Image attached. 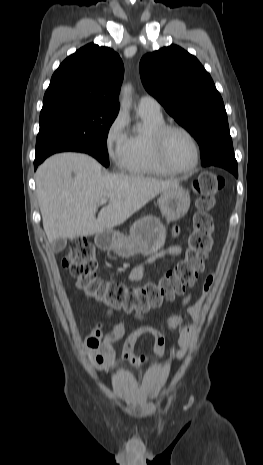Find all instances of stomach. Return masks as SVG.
<instances>
[{
	"instance_id": "0dacf381",
	"label": "stomach",
	"mask_w": 263,
	"mask_h": 465,
	"mask_svg": "<svg viewBox=\"0 0 263 465\" xmlns=\"http://www.w3.org/2000/svg\"><path fill=\"white\" fill-rule=\"evenodd\" d=\"M158 205L167 222L182 218L189 210L190 195L181 186L161 192ZM166 229L156 217L146 216L136 221L129 235L120 232L103 231L95 236L96 245L103 250H112L122 258L136 254L151 255L165 242Z\"/></svg>"
}]
</instances>
